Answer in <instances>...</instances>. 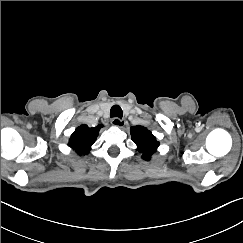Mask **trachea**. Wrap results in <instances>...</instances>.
<instances>
[{"label": "trachea", "mask_w": 243, "mask_h": 243, "mask_svg": "<svg viewBox=\"0 0 243 243\" xmlns=\"http://www.w3.org/2000/svg\"><path fill=\"white\" fill-rule=\"evenodd\" d=\"M123 111L120 106L114 105L112 106L110 110V117H117L119 119H122Z\"/></svg>", "instance_id": "obj_1"}]
</instances>
